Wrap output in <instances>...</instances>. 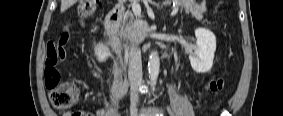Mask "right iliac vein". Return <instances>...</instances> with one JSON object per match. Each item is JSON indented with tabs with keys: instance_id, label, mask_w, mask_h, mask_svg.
I'll return each mask as SVG.
<instances>
[{
	"instance_id": "right-iliac-vein-1",
	"label": "right iliac vein",
	"mask_w": 283,
	"mask_h": 116,
	"mask_svg": "<svg viewBox=\"0 0 283 116\" xmlns=\"http://www.w3.org/2000/svg\"><path fill=\"white\" fill-rule=\"evenodd\" d=\"M131 115L132 116H135L136 115V109L134 107H132L131 109Z\"/></svg>"
}]
</instances>
